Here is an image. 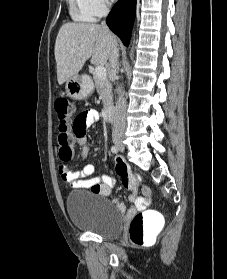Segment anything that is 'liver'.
Returning a JSON list of instances; mask_svg holds the SVG:
<instances>
[{
	"label": "liver",
	"instance_id": "6515ba94",
	"mask_svg": "<svg viewBox=\"0 0 227 279\" xmlns=\"http://www.w3.org/2000/svg\"><path fill=\"white\" fill-rule=\"evenodd\" d=\"M113 45L117 46V39L106 26L75 22L63 24L54 49L59 85L77 75L90 57L92 64L105 65Z\"/></svg>",
	"mask_w": 227,
	"mask_h": 279
}]
</instances>
